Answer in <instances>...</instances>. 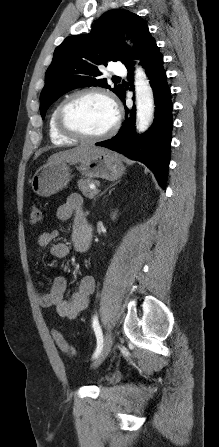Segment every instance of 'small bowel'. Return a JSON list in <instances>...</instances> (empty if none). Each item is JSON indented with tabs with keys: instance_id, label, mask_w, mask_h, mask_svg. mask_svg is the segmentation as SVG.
Returning <instances> with one entry per match:
<instances>
[{
	"instance_id": "c3829d8e",
	"label": "small bowel",
	"mask_w": 219,
	"mask_h": 447,
	"mask_svg": "<svg viewBox=\"0 0 219 447\" xmlns=\"http://www.w3.org/2000/svg\"><path fill=\"white\" fill-rule=\"evenodd\" d=\"M59 221H68L73 218L74 248L82 252L84 243L83 234V197L79 194H71L67 201L60 205L56 212ZM59 230L51 229L38 236L37 245L40 248H50L53 257L63 259L69 254L70 248L67 243L56 242ZM67 288V277H56L47 291H38L36 294L38 303L44 308H55L57 313L64 318H77L89 304V299L95 288L94 278L84 276L78 289L69 297L64 294Z\"/></svg>"
}]
</instances>
